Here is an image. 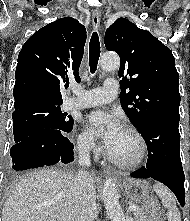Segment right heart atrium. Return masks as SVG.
I'll return each instance as SVG.
<instances>
[{
    "label": "right heart atrium",
    "instance_id": "right-heart-atrium-1",
    "mask_svg": "<svg viewBox=\"0 0 190 221\" xmlns=\"http://www.w3.org/2000/svg\"><path fill=\"white\" fill-rule=\"evenodd\" d=\"M78 150L82 153H94L100 152V147L91 134L87 131H82L77 138Z\"/></svg>",
    "mask_w": 190,
    "mask_h": 221
}]
</instances>
